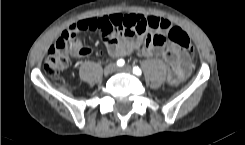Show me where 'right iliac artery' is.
I'll use <instances>...</instances> for the list:
<instances>
[{"label": "right iliac artery", "mask_w": 245, "mask_h": 145, "mask_svg": "<svg viewBox=\"0 0 245 145\" xmlns=\"http://www.w3.org/2000/svg\"><path fill=\"white\" fill-rule=\"evenodd\" d=\"M124 63H125V62H124L123 59H119V60L117 61V65L120 66V67L123 66Z\"/></svg>", "instance_id": "obj_1"}]
</instances>
